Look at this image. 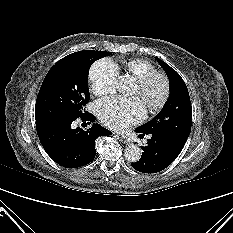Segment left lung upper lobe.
Returning a JSON list of instances; mask_svg holds the SVG:
<instances>
[{
	"mask_svg": "<svg viewBox=\"0 0 233 233\" xmlns=\"http://www.w3.org/2000/svg\"><path fill=\"white\" fill-rule=\"evenodd\" d=\"M155 59L169 78L170 96L158 115L136 130L145 134L160 132L184 146L192 124V107L188 89L181 76L172 67L157 57Z\"/></svg>",
	"mask_w": 233,
	"mask_h": 233,
	"instance_id": "obj_1",
	"label": "left lung upper lobe"
}]
</instances>
